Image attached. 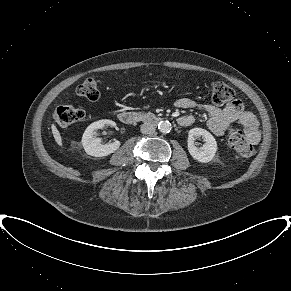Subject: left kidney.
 I'll return each mask as SVG.
<instances>
[{
    "instance_id": "obj_1",
    "label": "left kidney",
    "mask_w": 291,
    "mask_h": 291,
    "mask_svg": "<svg viewBox=\"0 0 291 291\" xmlns=\"http://www.w3.org/2000/svg\"><path fill=\"white\" fill-rule=\"evenodd\" d=\"M199 137H202L205 142L201 148L195 146V138ZM187 146L190 155L201 163L210 162L217 151V142L215 138L210 132L202 128H193L189 131Z\"/></svg>"
}]
</instances>
